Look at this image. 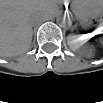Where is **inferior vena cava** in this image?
Listing matches in <instances>:
<instances>
[{
	"label": "inferior vena cava",
	"instance_id": "1",
	"mask_svg": "<svg viewBox=\"0 0 103 103\" xmlns=\"http://www.w3.org/2000/svg\"><path fill=\"white\" fill-rule=\"evenodd\" d=\"M34 19H39V16H33L32 20H34Z\"/></svg>",
	"mask_w": 103,
	"mask_h": 103
}]
</instances>
